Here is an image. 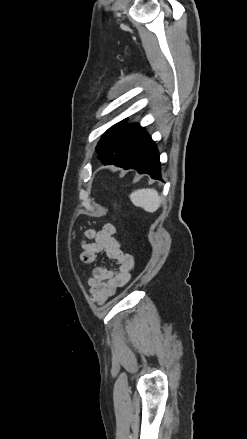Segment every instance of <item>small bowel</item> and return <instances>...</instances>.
Returning <instances> with one entry per match:
<instances>
[{
	"label": "small bowel",
	"instance_id": "small-bowel-1",
	"mask_svg": "<svg viewBox=\"0 0 247 439\" xmlns=\"http://www.w3.org/2000/svg\"><path fill=\"white\" fill-rule=\"evenodd\" d=\"M114 234L115 228L111 224L100 230H87L85 233L86 241L83 242L81 261L90 264L96 261L99 255L105 254L116 264L113 270L96 266L92 271L88 289L92 300L98 304L104 303L119 287L124 286L130 280L134 268L132 255L124 251L121 241Z\"/></svg>",
	"mask_w": 247,
	"mask_h": 439
}]
</instances>
